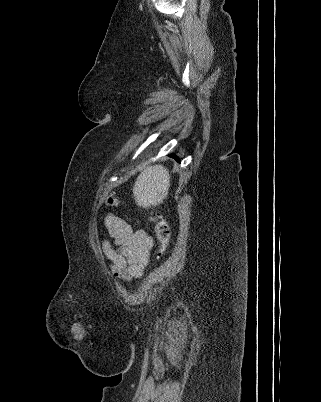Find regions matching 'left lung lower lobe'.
<instances>
[{"label": "left lung lower lobe", "instance_id": "left-lung-lower-lobe-1", "mask_svg": "<svg viewBox=\"0 0 321 402\" xmlns=\"http://www.w3.org/2000/svg\"><path fill=\"white\" fill-rule=\"evenodd\" d=\"M171 157H173V158L176 159L178 162H180L179 158L176 157L175 155H171Z\"/></svg>", "mask_w": 321, "mask_h": 402}]
</instances>
